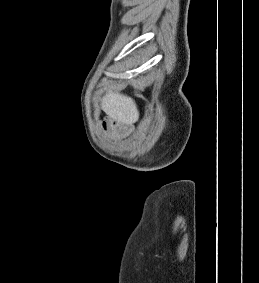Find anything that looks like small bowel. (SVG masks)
<instances>
[{"mask_svg":"<svg viewBox=\"0 0 259 283\" xmlns=\"http://www.w3.org/2000/svg\"><path fill=\"white\" fill-rule=\"evenodd\" d=\"M99 129L115 140L127 138L132 132V129L128 124L113 118L102 119L99 123Z\"/></svg>","mask_w":259,"mask_h":283,"instance_id":"c3829d8e","label":"small bowel"}]
</instances>
